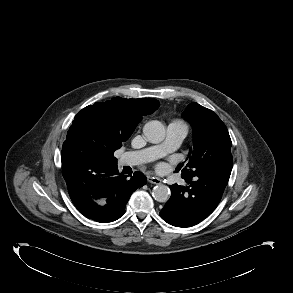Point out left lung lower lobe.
Returning a JSON list of instances; mask_svg holds the SVG:
<instances>
[{
  "label": "left lung lower lobe",
  "mask_w": 293,
  "mask_h": 293,
  "mask_svg": "<svg viewBox=\"0 0 293 293\" xmlns=\"http://www.w3.org/2000/svg\"><path fill=\"white\" fill-rule=\"evenodd\" d=\"M182 178L188 185L170 186L171 197L160 211V216L173 226L191 227L214 211L229 179L211 172L182 174Z\"/></svg>",
  "instance_id": "1"
}]
</instances>
